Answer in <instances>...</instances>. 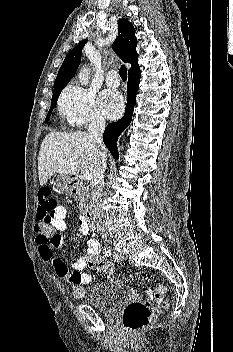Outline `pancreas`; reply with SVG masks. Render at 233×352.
Listing matches in <instances>:
<instances>
[{
  "mask_svg": "<svg viewBox=\"0 0 233 352\" xmlns=\"http://www.w3.org/2000/svg\"><path fill=\"white\" fill-rule=\"evenodd\" d=\"M78 198H79V205H78L79 210L81 212H84L89 208V205L91 203V194H90L89 188L85 187L82 181L78 183Z\"/></svg>",
  "mask_w": 233,
  "mask_h": 352,
  "instance_id": "obj_1",
  "label": "pancreas"
}]
</instances>
